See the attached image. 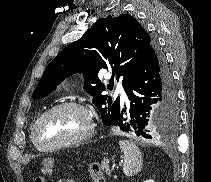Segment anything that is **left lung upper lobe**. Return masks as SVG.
Masks as SVG:
<instances>
[{
	"label": "left lung upper lobe",
	"mask_w": 211,
	"mask_h": 182,
	"mask_svg": "<svg viewBox=\"0 0 211 182\" xmlns=\"http://www.w3.org/2000/svg\"><path fill=\"white\" fill-rule=\"evenodd\" d=\"M153 43L149 34L131 15L100 18L79 40L68 45L50 62L33 97L47 96L64 79L82 72L84 89L93 96L92 102L99 109L103 124L116 125L120 112L119 97L112 101L110 96L101 94L106 88L99 80L98 73L101 69H112L113 76L107 88L112 89L114 74L117 81L122 79L125 88ZM175 129L159 127L156 132L174 133Z\"/></svg>",
	"instance_id": "obj_1"
}]
</instances>
